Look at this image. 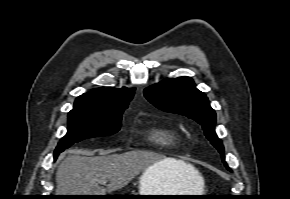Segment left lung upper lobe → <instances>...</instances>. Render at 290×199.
Returning a JSON list of instances; mask_svg holds the SVG:
<instances>
[{"label":"left lung upper lobe","mask_w":290,"mask_h":199,"mask_svg":"<svg viewBox=\"0 0 290 199\" xmlns=\"http://www.w3.org/2000/svg\"><path fill=\"white\" fill-rule=\"evenodd\" d=\"M144 94L157 108L165 112L185 115L202 125L206 137L220 152L223 161L225 160L223 144L215 132V111L211 108L206 95L195 88L190 77L165 79L147 87ZM225 165L231 171L226 163Z\"/></svg>","instance_id":"5c2ea615"}]
</instances>
